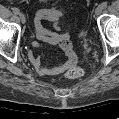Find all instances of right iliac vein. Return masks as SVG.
Listing matches in <instances>:
<instances>
[{"label": "right iliac vein", "instance_id": "1", "mask_svg": "<svg viewBox=\"0 0 119 119\" xmlns=\"http://www.w3.org/2000/svg\"><path fill=\"white\" fill-rule=\"evenodd\" d=\"M19 18L22 23H25V15L23 13H19Z\"/></svg>", "mask_w": 119, "mask_h": 119}]
</instances>
